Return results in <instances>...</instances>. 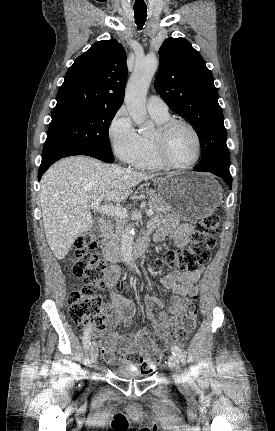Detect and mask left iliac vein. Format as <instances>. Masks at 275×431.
Masks as SVG:
<instances>
[{"instance_id":"obj_1","label":"left iliac vein","mask_w":275,"mask_h":431,"mask_svg":"<svg viewBox=\"0 0 275 431\" xmlns=\"http://www.w3.org/2000/svg\"><path fill=\"white\" fill-rule=\"evenodd\" d=\"M168 365L170 369L173 371L175 379L181 383L183 381V376L180 371L179 361L174 355H170L168 357Z\"/></svg>"}]
</instances>
